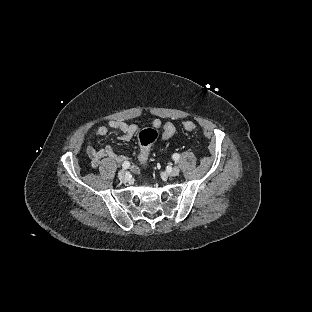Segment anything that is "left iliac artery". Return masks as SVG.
Masks as SVG:
<instances>
[{
    "mask_svg": "<svg viewBox=\"0 0 312 312\" xmlns=\"http://www.w3.org/2000/svg\"><path fill=\"white\" fill-rule=\"evenodd\" d=\"M173 160L178 161L180 158V155L178 153L173 154L172 156Z\"/></svg>",
    "mask_w": 312,
    "mask_h": 312,
    "instance_id": "left-iliac-artery-1",
    "label": "left iliac artery"
}]
</instances>
